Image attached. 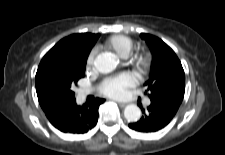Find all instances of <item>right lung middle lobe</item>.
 Wrapping results in <instances>:
<instances>
[{
	"label": "right lung middle lobe",
	"instance_id": "dd1d6c3e",
	"mask_svg": "<svg viewBox=\"0 0 225 155\" xmlns=\"http://www.w3.org/2000/svg\"><path fill=\"white\" fill-rule=\"evenodd\" d=\"M85 61H75L68 65H54L46 73L48 85L65 101L74 99L72 86L85 76Z\"/></svg>",
	"mask_w": 225,
	"mask_h": 155
}]
</instances>
